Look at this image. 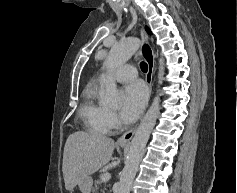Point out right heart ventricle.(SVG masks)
<instances>
[{
  "instance_id": "right-heart-ventricle-1",
  "label": "right heart ventricle",
  "mask_w": 237,
  "mask_h": 193,
  "mask_svg": "<svg viewBox=\"0 0 237 193\" xmlns=\"http://www.w3.org/2000/svg\"><path fill=\"white\" fill-rule=\"evenodd\" d=\"M86 129L94 134H107L111 131L109 110L98 98V86L89 83L82 91L79 109Z\"/></svg>"
}]
</instances>
